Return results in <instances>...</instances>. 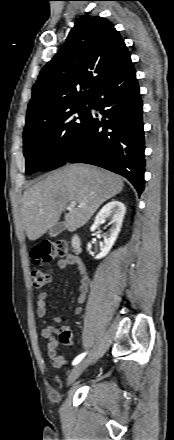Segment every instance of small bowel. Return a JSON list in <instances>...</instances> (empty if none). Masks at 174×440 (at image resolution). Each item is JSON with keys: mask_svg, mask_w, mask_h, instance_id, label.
<instances>
[{"mask_svg": "<svg viewBox=\"0 0 174 440\" xmlns=\"http://www.w3.org/2000/svg\"><path fill=\"white\" fill-rule=\"evenodd\" d=\"M58 267L60 269H66L71 267L74 268L76 272L79 274L80 286H79V294L77 297V302L79 304L83 303L88 293L90 279L88 276V272L82 261L77 257L70 255L63 259H60L58 261ZM47 297L48 295L46 292H39L36 297L37 316L41 319L45 318L47 313V304H46ZM81 312L82 309L79 306L74 309V314L76 315L81 314ZM53 321L56 323H60L63 321V318L61 316H54ZM71 331L72 329L70 327L59 328L55 325H51L46 322H43L41 335L47 340L46 342L47 353L48 356L52 359V363L54 367L61 368L66 363L65 358L61 355H58L57 353L58 340L56 338L58 337L63 344L72 346L73 341H72ZM65 332H69V336H64Z\"/></svg>", "mask_w": 174, "mask_h": 440, "instance_id": "small-bowel-1", "label": "small bowel"}]
</instances>
